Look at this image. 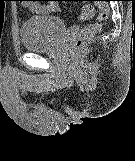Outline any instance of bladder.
<instances>
[{"label":"bladder","instance_id":"31cf9c89","mask_svg":"<svg viewBox=\"0 0 135 161\" xmlns=\"http://www.w3.org/2000/svg\"><path fill=\"white\" fill-rule=\"evenodd\" d=\"M65 30L66 24L61 17H30L27 19L21 35L23 46L32 52L52 49Z\"/></svg>","mask_w":135,"mask_h":161}]
</instances>
